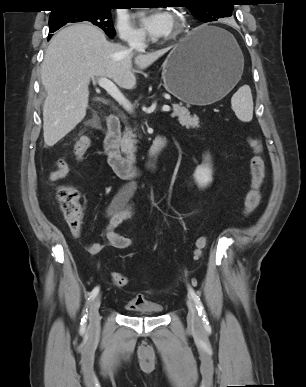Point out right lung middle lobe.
<instances>
[{"label": "right lung middle lobe", "mask_w": 306, "mask_h": 387, "mask_svg": "<svg viewBox=\"0 0 306 387\" xmlns=\"http://www.w3.org/2000/svg\"><path fill=\"white\" fill-rule=\"evenodd\" d=\"M110 8L102 6H71L52 12L49 17L50 33L55 32L66 23L89 21L100 27L109 37L116 32L110 14Z\"/></svg>", "instance_id": "1"}]
</instances>
